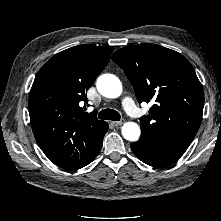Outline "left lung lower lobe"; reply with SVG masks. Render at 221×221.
<instances>
[{"label": "left lung lower lobe", "instance_id": "left-lung-lower-lobe-1", "mask_svg": "<svg viewBox=\"0 0 221 221\" xmlns=\"http://www.w3.org/2000/svg\"><path fill=\"white\" fill-rule=\"evenodd\" d=\"M187 147L151 134H141L139 141L131 144V150L141 161L155 167H166L176 162Z\"/></svg>", "mask_w": 221, "mask_h": 221}]
</instances>
